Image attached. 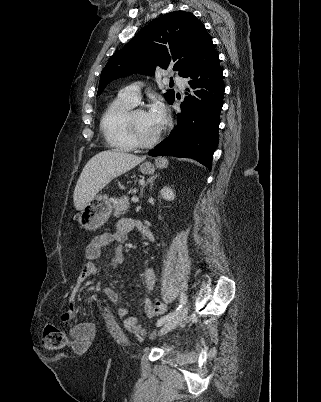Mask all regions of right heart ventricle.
I'll use <instances>...</instances> for the list:
<instances>
[{"mask_svg": "<svg viewBox=\"0 0 321 402\" xmlns=\"http://www.w3.org/2000/svg\"><path fill=\"white\" fill-rule=\"evenodd\" d=\"M133 106L117 97L105 108L100 120V130L110 148L125 152L136 149L125 129V116Z\"/></svg>", "mask_w": 321, "mask_h": 402, "instance_id": "e07e8e85", "label": "right heart ventricle"}]
</instances>
